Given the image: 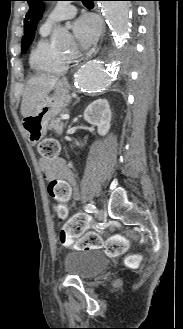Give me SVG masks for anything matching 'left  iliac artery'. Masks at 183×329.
Segmentation results:
<instances>
[{
  "label": "left iliac artery",
  "instance_id": "left-iliac-artery-1",
  "mask_svg": "<svg viewBox=\"0 0 183 329\" xmlns=\"http://www.w3.org/2000/svg\"><path fill=\"white\" fill-rule=\"evenodd\" d=\"M85 211L88 213H95L96 212V207L93 204H87L85 206Z\"/></svg>",
  "mask_w": 183,
  "mask_h": 329
}]
</instances>
